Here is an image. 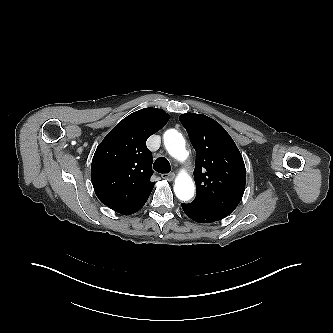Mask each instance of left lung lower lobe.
Wrapping results in <instances>:
<instances>
[{"label": "left lung lower lobe", "mask_w": 333, "mask_h": 333, "mask_svg": "<svg viewBox=\"0 0 333 333\" xmlns=\"http://www.w3.org/2000/svg\"><path fill=\"white\" fill-rule=\"evenodd\" d=\"M182 208L189 218L198 223L215 222L226 217V215L222 213L195 202L182 204Z\"/></svg>", "instance_id": "1"}]
</instances>
